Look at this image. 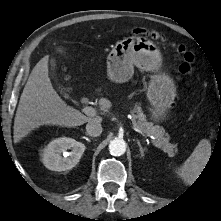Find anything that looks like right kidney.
Instances as JSON below:
<instances>
[{"mask_svg":"<svg viewBox=\"0 0 221 221\" xmlns=\"http://www.w3.org/2000/svg\"><path fill=\"white\" fill-rule=\"evenodd\" d=\"M71 149L70 152H67ZM85 151V145L72 138L62 137L51 141L43 153V164L54 171L72 169ZM63 155V156H62Z\"/></svg>","mask_w":221,"mask_h":221,"instance_id":"ca27d5eb","label":"right kidney"}]
</instances>
